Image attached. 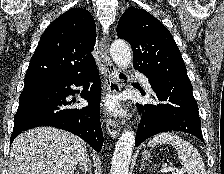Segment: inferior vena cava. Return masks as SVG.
<instances>
[{
    "label": "inferior vena cava",
    "instance_id": "602c4592",
    "mask_svg": "<svg viewBox=\"0 0 224 174\" xmlns=\"http://www.w3.org/2000/svg\"><path fill=\"white\" fill-rule=\"evenodd\" d=\"M87 164H89V157L84 154L81 158H80V165L81 167H83L82 169L86 172L87 169Z\"/></svg>",
    "mask_w": 224,
    "mask_h": 174
}]
</instances>
